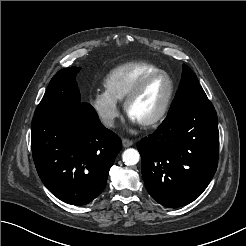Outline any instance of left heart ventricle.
Masks as SVG:
<instances>
[{
	"label": "left heart ventricle",
	"instance_id": "b2bd125f",
	"mask_svg": "<svg viewBox=\"0 0 246 246\" xmlns=\"http://www.w3.org/2000/svg\"><path fill=\"white\" fill-rule=\"evenodd\" d=\"M169 91L170 83L165 76L153 79L130 106L129 116L139 124L151 120L161 111Z\"/></svg>",
	"mask_w": 246,
	"mask_h": 246
}]
</instances>
